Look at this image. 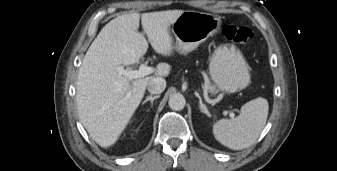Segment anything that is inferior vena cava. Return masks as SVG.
<instances>
[{"instance_id":"obj_1","label":"inferior vena cava","mask_w":337,"mask_h":171,"mask_svg":"<svg viewBox=\"0 0 337 171\" xmlns=\"http://www.w3.org/2000/svg\"><path fill=\"white\" fill-rule=\"evenodd\" d=\"M166 88V81L161 77H156L148 82L147 89L151 94H160Z\"/></svg>"}]
</instances>
